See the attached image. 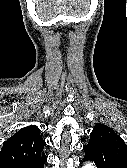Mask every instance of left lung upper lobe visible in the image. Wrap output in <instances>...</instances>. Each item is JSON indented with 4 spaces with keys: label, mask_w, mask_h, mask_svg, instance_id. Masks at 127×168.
Returning <instances> with one entry per match:
<instances>
[{
    "label": "left lung upper lobe",
    "mask_w": 127,
    "mask_h": 168,
    "mask_svg": "<svg viewBox=\"0 0 127 168\" xmlns=\"http://www.w3.org/2000/svg\"><path fill=\"white\" fill-rule=\"evenodd\" d=\"M94 141L103 142L113 148L122 163L127 166V146L112 128L101 123H97L90 134L89 143Z\"/></svg>",
    "instance_id": "left-lung-upper-lobe-1"
}]
</instances>
